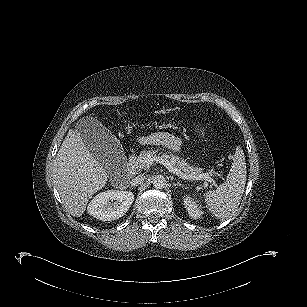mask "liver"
<instances>
[{"label":"liver","mask_w":307,"mask_h":307,"mask_svg":"<svg viewBox=\"0 0 307 307\" xmlns=\"http://www.w3.org/2000/svg\"><path fill=\"white\" fill-rule=\"evenodd\" d=\"M114 167L115 163L109 164V168ZM52 173L67 211L75 217L84 214L89 199L108 180L106 167L90 153L77 129L69 130L65 137Z\"/></svg>","instance_id":"liver-1"}]
</instances>
